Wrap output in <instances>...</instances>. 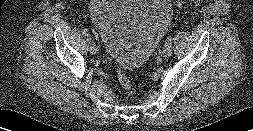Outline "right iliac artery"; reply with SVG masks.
<instances>
[{"label": "right iliac artery", "instance_id": "right-iliac-artery-1", "mask_svg": "<svg viewBox=\"0 0 253 131\" xmlns=\"http://www.w3.org/2000/svg\"><path fill=\"white\" fill-rule=\"evenodd\" d=\"M89 44L91 45V48H92V49H95V48H96V41H95L94 39H91V40L89 41Z\"/></svg>", "mask_w": 253, "mask_h": 131}]
</instances>
